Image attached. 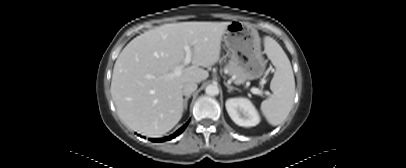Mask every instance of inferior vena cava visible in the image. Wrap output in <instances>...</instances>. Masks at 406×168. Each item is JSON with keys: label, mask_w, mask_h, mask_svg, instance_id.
I'll list each match as a JSON object with an SVG mask.
<instances>
[{"label": "inferior vena cava", "mask_w": 406, "mask_h": 168, "mask_svg": "<svg viewBox=\"0 0 406 168\" xmlns=\"http://www.w3.org/2000/svg\"><path fill=\"white\" fill-rule=\"evenodd\" d=\"M197 89V83L194 81L187 82L182 87V93L185 96L191 95Z\"/></svg>", "instance_id": "obj_1"}]
</instances>
